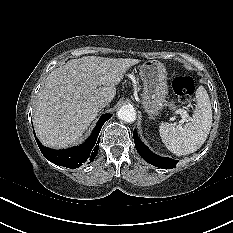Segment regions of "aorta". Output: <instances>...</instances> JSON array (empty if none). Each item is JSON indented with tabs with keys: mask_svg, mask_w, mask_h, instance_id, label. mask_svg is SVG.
I'll return each mask as SVG.
<instances>
[{
	"mask_svg": "<svg viewBox=\"0 0 233 233\" xmlns=\"http://www.w3.org/2000/svg\"><path fill=\"white\" fill-rule=\"evenodd\" d=\"M117 116L122 121L132 123L136 120V111L132 105H124L117 112Z\"/></svg>",
	"mask_w": 233,
	"mask_h": 233,
	"instance_id": "762f6f07",
	"label": "aorta"
}]
</instances>
